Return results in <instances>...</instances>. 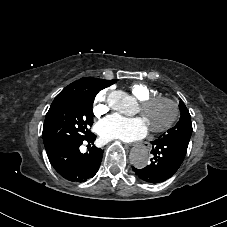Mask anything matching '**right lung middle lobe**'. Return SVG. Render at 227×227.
<instances>
[{"mask_svg": "<svg viewBox=\"0 0 227 227\" xmlns=\"http://www.w3.org/2000/svg\"><path fill=\"white\" fill-rule=\"evenodd\" d=\"M116 81L85 77L64 88L45 116L42 135L46 151L90 133L88 127L93 124L94 98L100 90Z\"/></svg>", "mask_w": 227, "mask_h": 227, "instance_id": "dd1d6c3e", "label": "right lung middle lobe"}]
</instances>
